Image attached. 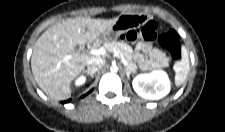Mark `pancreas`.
<instances>
[{
	"instance_id": "obj_1",
	"label": "pancreas",
	"mask_w": 225,
	"mask_h": 132,
	"mask_svg": "<svg viewBox=\"0 0 225 132\" xmlns=\"http://www.w3.org/2000/svg\"><path fill=\"white\" fill-rule=\"evenodd\" d=\"M103 48L114 52L117 51L123 55L125 60L128 63V69L135 72L137 70V65L132 59L133 50L132 48L126 44L125 42H117V41H108L103 44ZM169 59H165L161 64L160 67H168Z\"/></svg>"
}]
</instances>
